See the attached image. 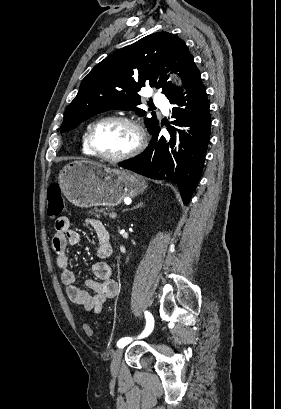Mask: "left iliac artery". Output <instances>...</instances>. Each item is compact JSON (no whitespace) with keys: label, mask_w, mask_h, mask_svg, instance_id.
I'll list each match as a JSON object with an SVG mask.
<instances>
[{"label":"left iliac artery","mask_w":281,"mask_h":409,"mask_svg":"<svg viewBox=\"0 0 281 409\" xmlns=\"http://www.w3.org/2000/svg\"><path fill=\"white\" fill-rule=\"evenodd\" d=\"M145 318H146V327H145L143 333L140 335L139 338H143V337L148 336L151 333V331L153 330V327H154L153 316L148 311H145ZM131 340H132V338H130V337L121 338L118 341L117 346L119 348H123V347H125V345H127L129 342H131Z\"/></svg>","instance_id":"1"}]
</instances>
